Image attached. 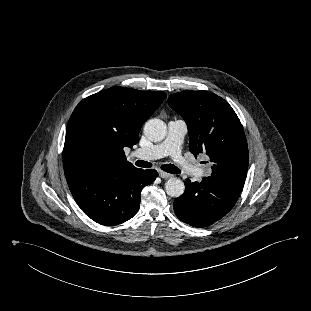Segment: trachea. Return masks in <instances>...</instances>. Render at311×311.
<instances>
[{"label": "trachea", "instance_id": "trachea-1", "mask_svg": "<svg viewBox=\"0 0 311 311\" xmlns=\"http://www.w3.org/2000/svg\"><path fill=\"white\" fill-rule=\"evenodd\" d=\"M135 164L138 167H143V168L152 167V164L150 162L143 161V160H138L135 162ZM161 169L165 172L172 173V174H179L181 172L180 169L174 166L173 164H164L161 166Z\"/></svg>", "mask_w": 311, "mask_h": 311}]
</instances>
